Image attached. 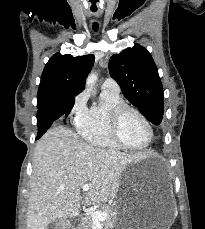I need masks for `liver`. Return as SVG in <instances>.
Returning <instances> with one entry per match:
<instances>
[{
	"label": "liver",
	"instance_id": "liver-1",
	"mask_svg": "<svg viewBox=\"0 0 205 229\" xmlns=\"http://www.w3.org/2000/svg\"><path fill=\"white\" fill-rule=\"evenodd\" d=\"M140 158L87 144L67 127L50 128L34 149L27 229H46L55 220L79 215L80 189L87 182L85 204L116 197L123 171Z\"/></svg>",
	"mask_w": 205,
	"mask_h": 229
}]
</instances>
